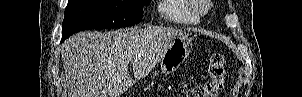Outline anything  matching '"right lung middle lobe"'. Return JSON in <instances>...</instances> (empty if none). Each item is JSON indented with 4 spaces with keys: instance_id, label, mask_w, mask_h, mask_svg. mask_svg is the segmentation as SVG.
<instances>
[{
    "instance_id": "obj_1",
    "label": "right lung middle lobe",
    "mask_w": 302,
    "mask_h": 97,
    "mask_svg": "<svg viewBox=\"0 0 302 97\" xmlns=\"http://www.w3.org/2000/svg\"><path fill=\"white\" fill-rule=\"evenodd\" d=\"M150 0H69L62 25V41L77 31L128 27L142 20Z\"/></svg>"
}]
</instances>
